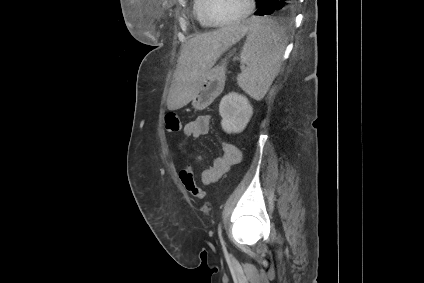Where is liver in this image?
Here are the masks:
<instances>
[{
	"label": "liver",
	"mask_w": 424,
	"mask_h": 283,
	"mask_svg": "<svg viewBox=\"0 0 424 283\" xmlns=\"http://www.w3.org/2000/svg\"><path fill=\"white\" fill-rule=\"evenodd\" d=\"M246 22L231 23L217 30L198 34L182 44L174 81L167 98L169 110L187 105L196 95L204 77L223 51L248 32Z\"/></svg>",
	"instance_id": "1"
}]
</instances>
